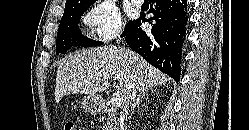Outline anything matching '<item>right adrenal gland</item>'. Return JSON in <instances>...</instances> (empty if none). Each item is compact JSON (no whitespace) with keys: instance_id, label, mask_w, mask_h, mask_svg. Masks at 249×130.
I'll return each mask as SVG.
<instances>
[{"instance_id":"2a0ac1e0","label":"right adrenal gland","mask_w":249,"mask_h":130,"mask_svg":"<svg viewBox=\"0 0 249 130\" xmlns=\"http://www.w3.org/2000/svg\"><path fill=\"white\" fill-rule=\"evenodd\" d=\"M149 90L152 91V89H145V90H142V91L140 92V94L137 96V98L133 101V104H132V106H131V108H130L129 118H131V115H130V114L134 113L135 108L138 107V106L140 105V103H142V101H143V96H145V94L148 93Z\"/></svg>"}]
</instances>
